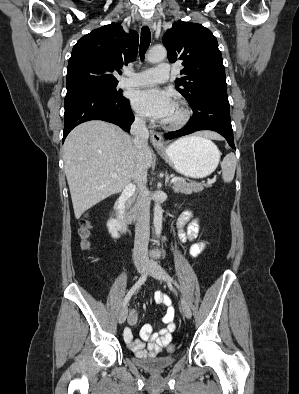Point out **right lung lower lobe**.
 Segmentation results:
<instances>
[{"label":"right lung lower lobe","mask_w":299,"mask_h":394,"mask_svg":"<svg viewBox=\"0 0 299 394\" xmlns=\"http://www.w3.org/2000/svg\"><path fill=\"white\" fill-rule=\"evenodd\" d=\"M64 134L80 123L89 120H103L120 126L128 132L134 121L129 100L122 96L116 99L113 95L99 90H79L67 92L64 102Z\"/></svg>","instance_id":"98d812e1"}]
</instances>
